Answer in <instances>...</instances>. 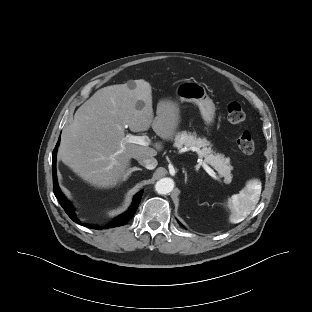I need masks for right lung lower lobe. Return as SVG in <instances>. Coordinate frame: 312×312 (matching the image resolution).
I'll return each mask as SVG.
<instances>
[{
  "label": "right lung lower lobe",
  "instance_id": "1",
  "mask_svg": "<svg viewBox=\"0 0 312 312\" xmlns=\"http://www.w3.org/2000/svg\"><path fill=\"white\" fill-rule=\"evenodd\" d=\"M58 145H59V140H58L57 145H56V147L53 151V154H52V173H53L54 194H55L56 198L59 200L60 205L63 207L65 212L68 214V216L74 222L81 224V225H85L78 220V218L75 215V209H74L73 205L70 203L69 200H67L65 198V196L63 195V193L61 192V190L58 186L57 176H56V153H57ZM142 194H143V191H140L139 193H137L134 197L133 203L130 206L129 210H127L125 213L121 214L120 216L116 217L111 224L106 225L104 227H100L97 225H86V226L88 228L101 230L102 228H114V227H118V226H122V225L126 224L133 217L134 213L136 212L138 205L140 203Z\"/></svg>",
  "mask_w": 312,
  "mask_h": 312
}]
</instances>
